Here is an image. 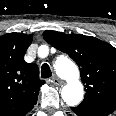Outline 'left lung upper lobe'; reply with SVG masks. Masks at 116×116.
<instances>
[{"instance_id":"left-lung-upper-lobe-1","label":"left lung upper lobe","mask_w":116,"mask_h":116,"mask_svg":"<svg viewBox=\"0 0 116 116\" xmlns=\"http://www.w3.org/2000/svg\"><path fill=\"white\" fill-rule=\"evenodd\" d=\"M43 37L79 66L86 91L81 105L116 109V48L97 38L79 34L47 30Z\"/></svg>"}]
</instances>
